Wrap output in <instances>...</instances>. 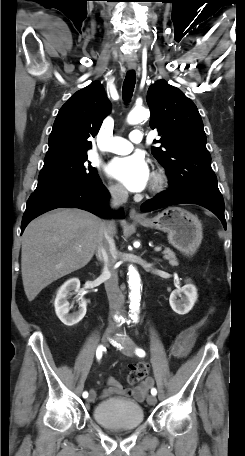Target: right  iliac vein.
I'll return each instance as SVG.
<instances>
[{
	"label": "right iliac vein",
	"instance_id": "63e3f726",
	"mask_svg": "<svg viewBox=\"0 0 245 456\" xmlns=\"http://www.w3.org/2000/svg\"><path fill=\"white\" fill-rule=\"evenodd\" d=\"M114 331V328H108L106 330V332L104 333L102 339H101V343L102 345L106 346L108 344V339L110 338L111 334L113 333ZM96 398V393L94 390H91L90 391V394H89V397L87 399V402L91 403V402H94Z\"/></svg>",
	"mask_w": 245,
	"mask_h": 456
}]
</instances>
